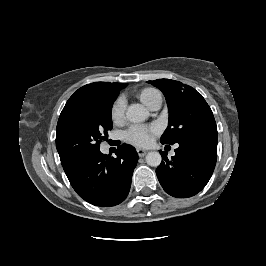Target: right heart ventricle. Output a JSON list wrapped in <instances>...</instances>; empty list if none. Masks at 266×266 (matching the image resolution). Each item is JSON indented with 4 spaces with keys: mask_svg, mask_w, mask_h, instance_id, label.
Here are the masks:
<instances>
[{
    "mask_svg": "<svg viewBox=\"0 0 266 266\" xmlns=\"http://www.w3.org/2000/svg\"><path fill=\"white\" fill-rule=\"evenodd\" d=\"M138 98L149 108L158 100L162 99L161 94L154 88H144L138 93Z\"/></svg>",
    "mask_w": 266,
    "mask_h": 266,
    "instance_id": "obj_1",
    "label": "right heart ventricle"
}]
</instances>
